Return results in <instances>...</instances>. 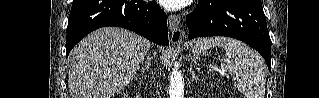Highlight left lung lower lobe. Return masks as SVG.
<instances>
[{
    "label": "left lung lower lobe",
    "instance_id": "0a47b994",
    "mask_svg": "<svg viewBox=\"0 0 319 98\" xmlns=\"http://www.w3.org/2000/svg\"><path fill=\"white\" fill-rule=\"evenodd\" d=\"M188 39L228 36L256 49L271 70V40L261 0H199L186 16Z\"/></svg>",
    "mask_w": 319,
    "mask_h": 98
}]
</instances>
